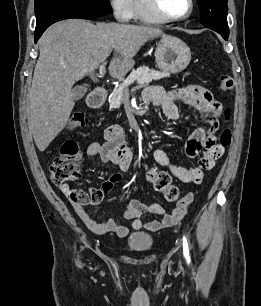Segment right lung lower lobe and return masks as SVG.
<instances>
[{
    "label": "right lung lower lobe",
    "mask_w": 261,
    "mask_h": 306,
    "mask_svg": "<svg viewBox=\"0 0 261 306\" xmlns=\"http://www.w3.org/2000/svg\"><path fill=\"white\" fill-rule=\"evenodd\" d=\"M34 7L36 16L35 43L43 32L55 22L70 18L95 19L107 13L100 10L49 3H35Z\"/></svg>",
    "instance_id": "obj_1"
}]
</instances>
